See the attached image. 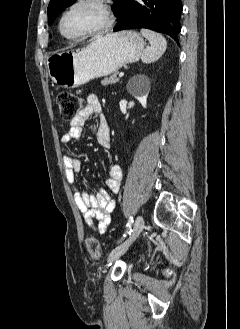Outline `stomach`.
<instances>
[{
    "label": "stomach",
    "instance_id": "stomach-1",
    "mask_svg": "<svg viewBox=\"0 0 240 329\" xmlns=\"http://www.w3.org/2000/svg\"><path fill=\"white\" fill-rule=\"evenodd\" d=\"M144 46V39L136 31L98 34L84 48L51 54L47 68L56 84L76 88L138 61Z\"/></svg>",
    "mask_w": 240,
    "mask_h": 329
}]
</instances>
